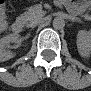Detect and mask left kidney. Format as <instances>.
<instances>
[{
	"label": "left kidney",
	"instance_id": "1",
	"mask_svg": "<svg viewBox=\"0 0 91 91\" xmlns=\"http://www.w3.org/2000/svg\"><path fill=\"white\" fill-rule=\"evenodd\" d=\"M77 48L81 56L88 57L91 52V36L88 32L79 31L77 35Z\"/></svg>",
	"mask_w": 91,
	"mask_h": 91
}]
</instances>
